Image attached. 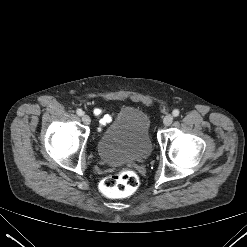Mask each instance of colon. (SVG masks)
<instances>
[{
  "label": "colon",
  "instance_id": "5ec220e1",
  "mask_svg": "<svg viewBox=\"0 0 247 247\" xmlns=\"http://www.w3.org/2000/svg\"><path fill=\"white\" fill-rule=\"evenodd\" d=\"M139 186V176L131 168H124L118 173L106 177L101 188L110 197H124L132 194Z\"/></svg>",
  "mask_w": 247,
  "mask_h": 247
}]
</instances>
